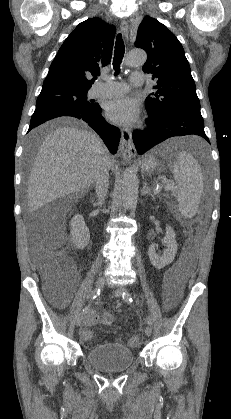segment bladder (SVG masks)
Segmentation results:
<instances>
[{
	"label": "bladder",
	"instance_id": "31cf9c89",
	"mask_svg": "<svg viewBox=\"0 0 231 419\" xmlns=\"http://www.w3.org/2000/svg\"><path fill=\"white\" fill-rule=\"evenodd\" d=\"M85 357L91 367L101 372L126 371L135 362L132 350L117 342H106L91 348Z\"/></svg>",
	"mask_w": 231,
	"mask_h": 419
}]
</instances>
